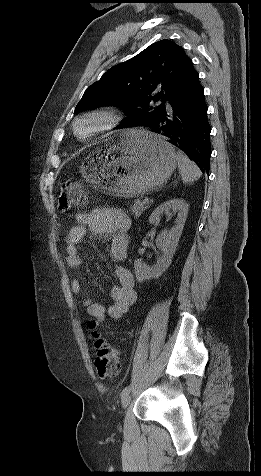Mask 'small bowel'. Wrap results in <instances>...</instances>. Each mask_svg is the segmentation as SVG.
I'll use <instances>...</instances> for the list:
<instances>
[{
	"instance_id": "obj_1",
	"label": "small bowel",
	"mask_w": 261,
	"mask_h": 476,
	"mask_svg": "<svg viewBox=\"0 0 261 476\" xmlns=\"http://www.w3.org/2000/svg\"><path fill=\"white\" fill-rule=\"evenodd\" d=\"M77 224L68 232L66 245V265L70 269H78L82 265L80 244L90 232L97 239H110V258L115 262H122L127 257V232L131 227L129 216L116 208H96L89 212L77 215ZM115 275L118 284L110 290L112 302L108 307L85 299L83 304L87 314L102 322L106 318L117 320L128 312L136 302L137 295L134 289V278L129 269L117 266ZM72 292L79 295L82 292V283L74 279L71 283Z\"/></svg>"
}]
</instances>
